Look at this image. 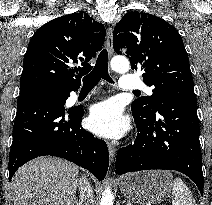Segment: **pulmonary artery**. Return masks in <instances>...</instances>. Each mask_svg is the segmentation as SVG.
Returning <instances> with one entry per match:
<instances>
[{
    "instance_id": "obj_1",
    "label": "pulmonary artery",
    "mask_w": 212,
    "mask_h": 205,
    "mask_svg": "<svg viewBox=\"0 0 212 205\" xmlns=\"http://www.w3.org/2000/svg\"><path fill=\"white\" fill-rule=\"evenodd\" d=\"M119 87L122 90L136 91L142 89L148 94L152 93L149 87H147L139 78H136L132 75H122Z\"/></svg>"
}]
</instances>
